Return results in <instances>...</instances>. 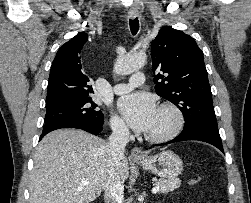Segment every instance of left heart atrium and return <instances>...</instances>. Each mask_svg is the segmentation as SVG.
<instances>
[{
	"instance_id": "39dd6f15",
	"label": "left heart atrium",
	"mask_w": 251,
	"mask_h": 203,
	"mask_svg": "<svg viewBox=\"0 0 251 203\" xmlns=\"http://www.w3.org/2000/svg\"><path fill=\"white\" fill-rule=\"evenodd\" d=\"M118 106L131 128L139 132L150 130L158 111L154 98L142 92L123 96Z\"/></svg>"
}]
</instances>
